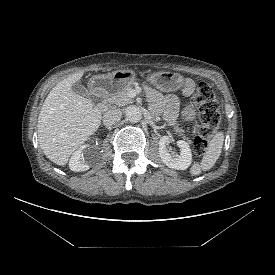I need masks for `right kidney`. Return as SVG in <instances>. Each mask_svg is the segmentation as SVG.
Here are the masks:
<instances>
[{"instance_id":"right-kidney-1","label":"right kidney","mask_w":275,"mask_h":275,"mask_svg":"<svg viewBox=\"0 0 275 275\" xmlns=\"http://www.w3.org/2000/svg\"><path fill=\"white\" fill-rule=\"evenodd\" d=\"M89 147V145H83L79 150L75 151L70 158L69 167L72 171L80 172L89 169V166L85 163L83 158V151Z\"/></svg>"}]
</instances>
